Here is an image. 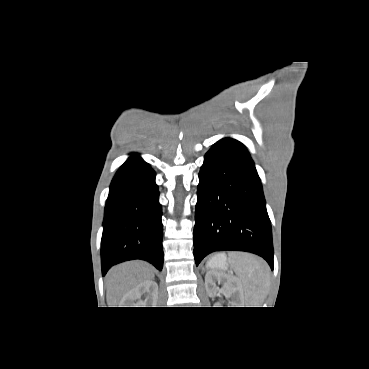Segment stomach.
Instances as JSON below:
<instances>
[{
    "mask_svg": "<svg viewBox=\"0 0 369 369\" xmlns=\"http://www.w3.org/2000/svg\"><path fill=\"white\" fill-rule=\"evenodd\" d=\"M207 267L219 270L227 269L226 256L224 254L215 255L207 262Z\"/></svg>",
    "mask_w": 369,
    "mask_h": 369,
    "instance_id": "obj_1",
    "label": "stomach"
}]
</instances>
